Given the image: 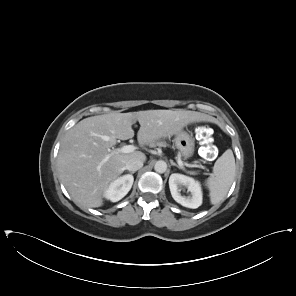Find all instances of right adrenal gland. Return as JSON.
I'll list each match as a JSON object with an SVG mask.
<instances>
[{
    "label": "right adrenal gland",
    "mask_w": 296,
    "mask_h": 296,
    "mask_svg": "<svg viewBox=\"0 0 296 296\" xmlns=\"http://www.w3.org/2000/svg\"><path fill=\"white\" fill-rule=\"evenodd\" d=\"M130 173H131V174H134V173H135V171H131Z\"/></svg>",
    "instance_id": "right-adrenal-gland-1"
}]
</instances>
